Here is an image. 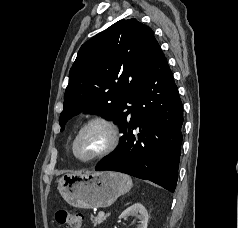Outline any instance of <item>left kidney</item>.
<instances>
[{
	"instance_id": "5707ae66",
	"label": "left kidney",
	"mask_w": 238,
	"mask_h": 228,
	"mask_svg": "<svg viewBox=\"0 0 238 228\" xmlns=\"http://www.w3.org/2000/svg\"><path fill=\"white\" fill-rule=\"evenodd\" d=\"M130 215L139 216L140 224L137 226V228H147L149 216H148L147 210L141 203H135L131 205L130 207H128L127 209H125L119 216V221Z\"/></svg>"
}]
</instances>
